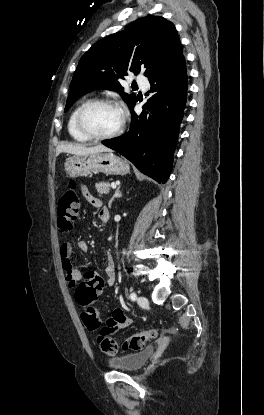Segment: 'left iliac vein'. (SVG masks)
Wrapping results in <instances>:
<instances>
[{
	"mask_svg": "<svg viewBox=\"0 0 264 415\" xmlns=\"http://www.w3.org/2000/svg\"><path fill=\"white\" fill-rule=\"evenodd\" d=\"M137 302H138V304L140 306H146V305H148V299L146 297H144V296L138 297Z\"/></svg>",
	"mask_w": 264,
	"mask_h": 415,
	"instance_id": "obj_1",
	"label": "left iliac vein"
}]
</instances>
